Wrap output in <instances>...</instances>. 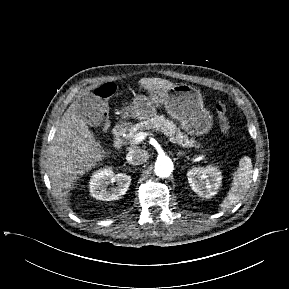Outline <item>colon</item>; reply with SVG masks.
<instances>
[{
  "instance_id": "1",
  "label": "colon",
  "mask_w": 289,
  "mask_h": 289,
  "mask_svg": "<svg viewBox=\"0 0 289 289\" xmlns=\"http://www.w3.org/2000/svg\"><path fill=\"white\" fill-rule=\"evenodd\" d=\"M115 91L116 85L112 82L105 83L95 90V95L101 103V110L105 115V117L107 116L109 111L108 100L114 94ZM215 111L220 121L221 130L226 134L229 133L231 126L228 119L226 104L222 101L216 102Z\"/></svg>"
}]
</instances>
